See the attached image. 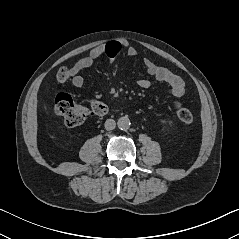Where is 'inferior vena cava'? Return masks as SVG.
I'll use <instances>...</instances> for the list:
<instances>
[{"instance_id":"1","label":"inferior vena cava","mask_w":239,"mask_h":239,"mask_svg":"<svg viewBox=\"0 0 239 239\" xmlns=\"http://www.w3.org/2000/svg\"><path fill=\"white\" fill-rule=\"evenodd\" d=\"M115 125H116V123H115V121H114L113 119H107V120L105 121V129H106V130H112V129H114V128H115Z\"/></svg>"}]
</instances>
